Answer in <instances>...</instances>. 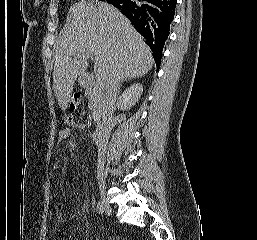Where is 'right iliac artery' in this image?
I'll return each instance as SVG.
<instances>
[{"mask_svg": "<svg viewBox=\"0 0 257 240\" xmlns=\"http://www.w3.org/2000/svg\"><path fill=\"white\" fill-rule=\"evenodd\" d=\"M96 210L99 214H102L104 209H103V206H102V203L99 201L97 206H96Z\"/></svg>", "mask_w": 257, "mask_h": 240, "instance_id": "1", "label": "right iliac artery"}]
</instances>
